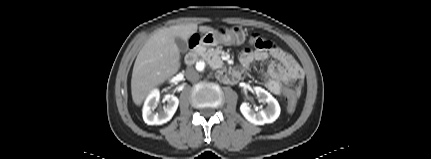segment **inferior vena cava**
Returning <instances> with one entry per match:
<instances>
[{
	"label": "inferior vena cava",
	"mask_w": 431,
	"mask_h": 159,
	"mask_svg": "<svg viewBox=\"0 0 431 159\" xmlns=\"http://www.w3.org/2000/svg\"><path fill=\"white\" fill-rule=\"evenodd\" d=\"M186 77L189 81L195 82L199 79V74L193 67H190L186 70Z\"/></svg>",
	"instance_id": "inferior-vena-cava-1"
}]
</instances>
